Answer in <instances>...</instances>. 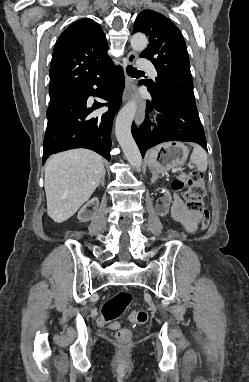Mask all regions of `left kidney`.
I'll use <instances>...</instances> for the list:
<instances>
[{
	"mask_svg": "<svg viewBox=\"0 0 249 382\" xmlns=\"http://www.w3.org/2000/svg\"><path fill=\"white\" fill-rule=\"evenodd\" d=\"M160 191L161 194H160V197H159V207L160 208H169L170 207V202H171V190L170 189H166L165 186H160Z\"/></svg>",
	"mask_w": 249,
	"mask_h": 382,
	"instance_id": "1",
	"label": "left kidney"
}]
</instances>
